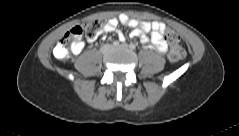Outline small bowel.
I'll list each match as a JSON object with an SVG mask.
<instances>
[{
	"label": "small bowel",
	"mask_w": 239,
	"mask_h": 136,
	"mask_svg": "<svg viewBox=\"0 0 239 136\" xmlns=\"http://www.w3.org/2000/svg\"><path fill=\"white\" fill-rule=\"evenodd\" d=\"M119 24L126 25L132 30L129 33L130 37L140 38L142 43L146 46H151L159 53H165L168 50V43L164 38L166 31V25L163 22L154 21L150 22H139L135 19L129 18L127 15H120L119 18L110 19L102 27V32L109 33L116 30ZM151 35L148 37L147 33ZM118 38L120 41H125L126 35L118 31ZM93 39H89L88 42H92ZM81 46L78 47V50Z\"/></svg>",
	"instance_id": "obj_1"
}]
</instances>
